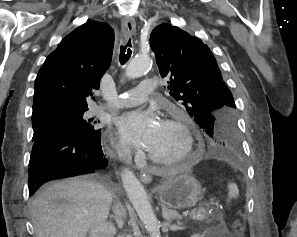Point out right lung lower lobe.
Returning a JSON list of instances; mask_svg holds the SVG:
<instances>
[{"label":"right lung lower lobe","instance_id":"98d812e1","mask_svg":"<svg viewBox=\"0 0 297 237\" xmlns=\"http://www.w3.org/2000/svg\"><path fill=\"white\" fill-rule=\"evenodd\" d=\"M29 162V193L44 183L84 174L99 173L108 165L100 134L84 139L67 128L54 126L33 137Z\"/></svg>","mask_w":297,"mask_h":237}]
</instances>
